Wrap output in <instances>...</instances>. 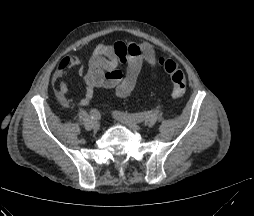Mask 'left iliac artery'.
I'll use <instances>...</instances> for the list:
<instances>
[{
  "label": "left iliac artery",
  "instance_id": "obj_1",
  "mask_svg": "<svg viewBox=\"0 0 254 216\" xmlns=\"http://www.w3.org/2000/svg\"><path fill=\"white\" fill-rule=\"evenodd\" d=\"M117 114L121 116H126L136 122H141L145 119V113L128 114V113L117 112Z\"/></svg>",
  "mask_w": 254,
  "mask_h": 216
}]
</instances>
